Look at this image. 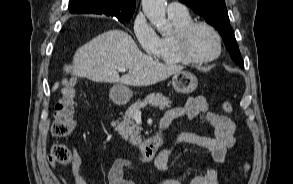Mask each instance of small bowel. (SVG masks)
Wrapping results in <instances>:
<instances>
[{
    "label": "small bowel",
    "mask_w": 293,
    "mask_h": 184,
    "mask_svg": "<svg viewBox=\"0 0 293 184\" xmlns=\"http://www.w3.org/2000/svg\"><path fill=\"white\" fill-rule=\"evenodd\" d=\"M202 115L208 125L214 129V136H204L196 133L179 134L171 147L160 151L154 158L156 170L161 174L157 184H184L183 182L165 176L168 170L169 157L173 148L177 145L189 144L208 150L212 158L217 163H224L231 148L235 144V123L227 116L214 113L209 110L208 103L203 96L189 98L183 107H174L169 109L163 116V120L171 123L174 120L186 119L191 121ZM56 167L55 163H50ZM71 173L76 184H87L81 175L82 158L78 150H74L71 160ZM132 169L131 163L125 158L116 159L109 167L107 172L108 184H137L128 179L126 174ZM219 170L210 168L203 173L192 177L188 184H219ZM62 184H67L66 180L61 178Z\"/></svg>",
    "instance_id": "c3829d8e"
}]
</instances>
